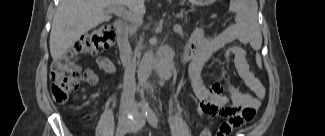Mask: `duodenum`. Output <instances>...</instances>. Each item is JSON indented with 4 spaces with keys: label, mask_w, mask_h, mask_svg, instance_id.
<instances>
[{
    "label": "duodenum",
    "mask_w": 325,
    "mask_h": 136,
    "mask_svg": "<svg viewBox=\"0 0 325 136\" xmlns=\"http://www.w3.org/2000/svg\"><path fill=\"white\" fill-rule=\"evenodd\" d=\"M114 28L118 34V48H119L120 54L122 56L123 62L125 65H128L130 62V58H131V45L128 40L127 24L119 21L114 24ZM178 53L180 55V62L182 64L186 63L189 58V51H188L187 46L181 47L178 50Z\"/></svg>",
    "instance_id": "1"
}]
</instances>
